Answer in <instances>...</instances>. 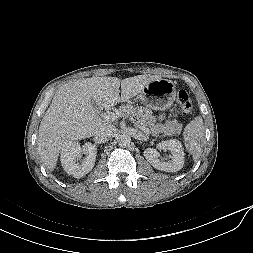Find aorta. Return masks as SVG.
Wrapping results in <instances>:
<instances>
[{"label": "aorta", "mask_w": 253, "mask_h": 253, "mask_svg": "<svg viewBox=\"0 0 253 253\" xmlns=\"http://www.w3.org/2000/svg\"><path fill=\"white\" fill-rule=\"evenodd\" d=\"M131 143V137L128 135V134H121L119 137H118V144L119 146L121 147H127L129 146Z\"/></svg>", "instance_id": "obj_1"}]
</instances>
